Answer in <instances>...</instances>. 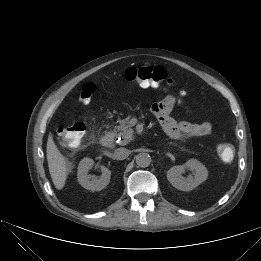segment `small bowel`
I'll list each match as a JSON object with an SVG mask.
<instances>
[{"label": "small bowel", "mask_w": 261, "mask_h": 261, "mask_svg": "<svg viewBox=\"0 0 261 261\" xmlns=\"http://www.w3.org/2000/svg\"><path fill=\"white\" fill-rule=\"evenodd\" d=\"M148 87L146 85H143ZM177 100L174 96L168 95L160 102L152 105V111L159 119L165 133L172 138L182 135L204 136L211 132L212 124L209 121L190 123L186 121L176 122L170 117V113Z\"/></svg>", "instance_id": "small-bowel-1"}]
</instances>
